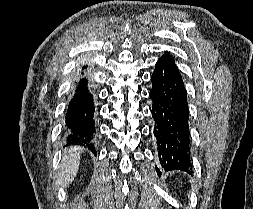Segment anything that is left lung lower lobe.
<instances>
[{
  "instance_id": "0a47b994",
  "label": "left lung lower lobe",
  "mask_w": 253,
  "mask_h": 209,
  "mask_svg": "<svg viewBox=\"0 0 253 209\" xmlns=\"http://www.w3.org/2000/svg\"><path fill=\"white\" fill-rule=\"evenodd\" d=\"M151 82V113L161 165L165 170L189 173L192 164L187 92L175 62L160 58ZM155 168L160 174L157 166Z\"/></svg>"
}]
</instances>
